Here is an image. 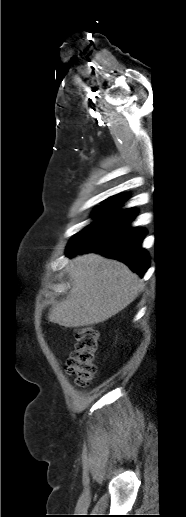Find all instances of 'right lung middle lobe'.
Returning a JSON list of instances; mask_svg holds the SVG:
<instances>
[{
  "instance_id": "right-lung-middle-lobe-1",
  "label": "right lung middle lobe",
  "mask_w": 186,
  "mask_h": 517,
  "mask_svg": "<svg viewBox=\"0 0 186 517\" xmlns=\"http://www.w3.org/2000/svg\"><path fill=\"white\" fill-rule=\"evenodd\" d=\"M113 206H114V203H112V202H108V201L104 202L102 204V207H100V213H104L107 209H109Z\"/></svg>"
}]
</instances>
